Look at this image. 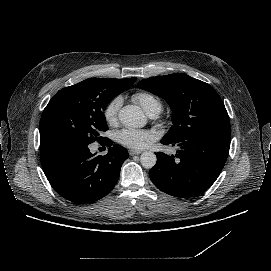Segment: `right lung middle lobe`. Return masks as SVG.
Masks as SVG:
<instances>
[{
	"mask_svg": "<svg viewBox=\"0 0 271 271\" xmlns=\"http://www.w3.org/2000/svg\"><path fill=\"white\" fill-rule=\"evenodd\" d=\"M93 80L83 86L60 90L45 107L40 121V142L63 138L90 144L101 141L100 132L108 129L102 111L130 84Z\"/></svg>",
	"mask_w": 271,
	"mask_h": 271,
	"instance_id": "right-lung-middle-lobe-1",
	"label": "right lung middle lobe"
}]
</instances>
